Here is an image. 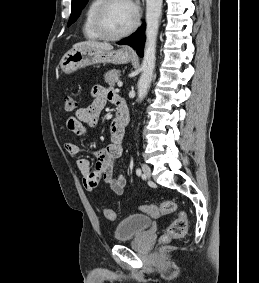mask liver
I'll list each match as a JSON object with an SVG mask.
<instances>
[{
    "label": "liver",
    "instance_id": "1",
    "mask_svg": "<svg viewBox=\"0 0 259 283\" xmlns=\"http://www.w3.org/2000/svg\"><path fill=\"white\" fill-rule=\"evenodd\" d=\"M82 46H88V47L105 49V50H112L113 49V46L109 43L97 42V41H92V40L76 43V44L73 45V48L82 47Z\"/></svg>",
    "mask_w": 259,
    "mask_h": 283
}]
</instances>
